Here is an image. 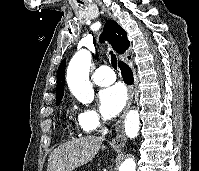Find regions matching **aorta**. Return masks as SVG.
<instances>
[{
  "mask_svg": "<svg viewBox=\"0 0 199 171\" xmlns=\"http://www.w3.org/2000/svg\"><path fill=\"white\" fill-rule=\"evenodd\" d=\"M91 54L86 50L78 51L71 59L67 69V84L73 95L82 103H91L94 99V90L89 81ZM140 119L136 109L130 110L125 118V133L129 138H135L139 131ZM136 164L133 158L126 159L119 171H135Z\"/></svg>",
  "mask_w": 199,
  "mask_h": 171,
  "instance_id": "obj_1",
  "label": "aorta"
}]
</instances>
